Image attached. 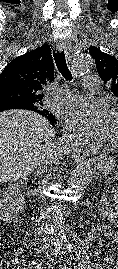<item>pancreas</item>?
Instances as JSON below:
<instances>
[{"label": "pancreas", "instance_id": "cf45deb5", "mask_svg": "<svg viewBox=\"0 0 118 269\" xmlns=\"http://www.w3.org/2000/svg\"><path fill=\"white\" fill-rule=\"evenodd\" d=\"M114 177H101L100 181L101 182H114ZM116 179H118V175L116 176Z\"/></svg>", "mask_w": 118, "mask_h": 269}]
</instances>
